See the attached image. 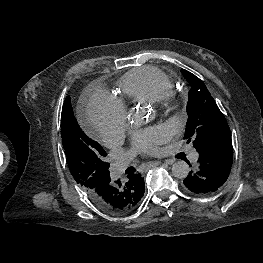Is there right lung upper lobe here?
I'll return each instance as SVG.
<instances>
[{"instance_id":"cb5924a9","label":"right lung upper lobe","mask_w":263,"mask_h":263,"mask_svg":"<svg viewBox=\"0 0 263 263\" xmlns=\"http://www.w3.org/2000/svg\"><path fill=\"white\" fill-rule=\"evenodd\" d=\"M144 190L145 186L143 183L138 185L131 184L126 203L119 207L114 213H126L135 209L144 195Z\"/></svg>"}]
</instances>
